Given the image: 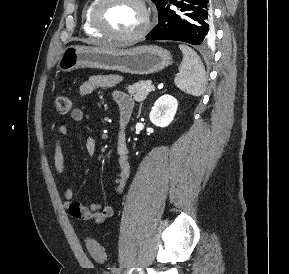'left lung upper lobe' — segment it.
<instances>
[{
    "label": "left lung upper lobe",
    "instance_id": "left-lung-upper-lobe-1",
    "mask_svg": "<svg viewBox=\"0 0 289 274\" xmlns=\"http://www.w3.org/2000/svg\"><path fill=\"white\" fill-rule=\"evenodd\" d=\"M153 3L156 5L158 11L162 8V6L165 5V3L167 2V0H152Z\"/></svg>",
    "mask_w": 289,
    "mask_h": 274
}]
</instances>
